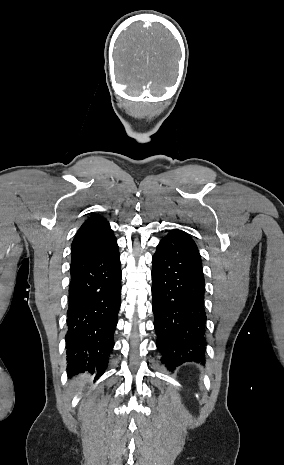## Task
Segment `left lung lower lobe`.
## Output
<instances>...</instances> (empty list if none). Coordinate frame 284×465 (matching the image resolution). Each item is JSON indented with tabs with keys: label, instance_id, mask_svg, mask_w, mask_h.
I'll list each match as a JSON object with an SVG mask.
<instances>
[{
	"label": "left lung lower lobe",
	"instance_id": "1",
	"mask_svg": "<svg viewBox=\"0 0 284 465\" xmlns=\"http://www.w3.org/2000/svg\"><path fill=\"white\" fill-rule=\"evenodd\" d=\"M152 296L156 345L170 369L205 362L204 276L195 242L173 229L152 258Z\"/></svg>",
	"mask_w": 284,
	"mask_h": 465
}]
</instances>
